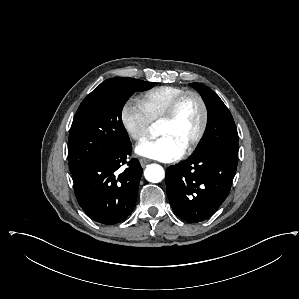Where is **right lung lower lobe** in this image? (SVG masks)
I'll return each instance as SVG.
<instances>
[{
  "label": "right lung lower lobe",
  "mask_w": 299,
  "mask_h": 299,
  "mask_svg": "<svg viewBox=\"0 0 299 299\" xmlns=\"http://www.w3.org/2000/svg\"><path fill=\"white\" fill-rule=\"evenodd\" d=\"M131 144L109 155L97 158L72 174L79 205L101 224L123 221L136 202L142 167L136 158L127 168L116 172L131 155Z\"/></svg>",
  "instance_id": "right-lung-lower-lobe-1"
}]
</instances>
